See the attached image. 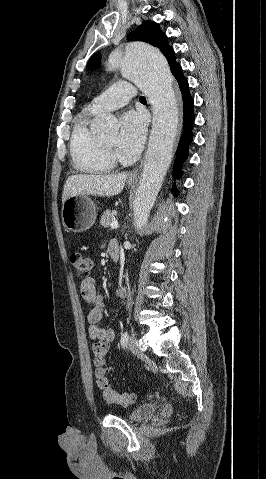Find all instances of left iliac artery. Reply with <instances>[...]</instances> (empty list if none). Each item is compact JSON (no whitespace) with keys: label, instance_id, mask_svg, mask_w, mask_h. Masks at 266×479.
Masks as SVG:
<instances>
[{"label":"left iliac artery","instance_id":"left-iliac-artery-1","mask_svg":"<svg viewBox=\"0 0 266 479\" xmlns=\"http://www.w3.org/2000/svg\"><path fill=\"white\" fill-rule=\"evenodd\" d=\"M128 340H129V334H128V332L126 331V332H124V333L122 334L121 340H120L121 346H122L123 348L127 347Z\"/></svg>","mask_w":266,"mask_h":479}]
</instances>
